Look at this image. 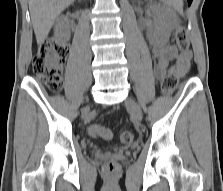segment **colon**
I'll return each mask as SVG.
<instances>
[{
    "mask_svg": "<svg viewBox=\"0 0 223 191\" xmlns=\"http://www.w3.org/2000/svg\"><path fill=\"white\" fill-rule=\"evenodd\" d=\"M176 45L181 53L189 50L190 42L187 31L183 26H178L175 32ZM67 58L66 46L57 42H46L32 60V68L40 82L51 92L58 93L62 88V71ZM178 66L173 64L162 82V89L165 94H172L178 84ZM90 133L94 137L110 139L112 133L109 129L99 125H93ZM133 133L124 130L120 133L119 139L122 144L128 145L133 141ZM105 171L109 174L118 171V164L114 161L108 162Z\"/></svg>",
    "mask_w": 223,
    "mask_h": 191,
    "instance_id": "1",
    "label": "colon"
}]
</instances>
